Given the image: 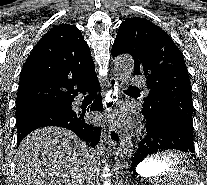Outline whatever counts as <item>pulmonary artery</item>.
I'll return each mask as SVG.
<instances>
[{
	"label": "pulmonary artery",
	"mask_w": 207,
	"mask_h": 185,
	"mask_svg": "<svg viewBox=\"0 0 207 185\" xmlns=\"http://www.w3.org/2000/svg\"><path fill=\"white\" fill-rule=\"evenodd\" d=\"M131 86H144V81H141V77H130Z\"/></svg>",
	"instance_id": "pulmonary-artery-1"
}]
</instances>
